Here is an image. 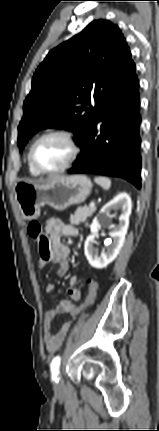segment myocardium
<instances>
[{"label": "myocardium", "instance_id": "obj_1", "mask_svg": "<svg viewBox=\"0 0 159 431\" xmlns=\"http://www.w3.org/2000/svg\"><path fill=\"white\" fill-rule=\"evenodd\" d=\"M55 136L62 137L68 142V144L71 148V155H70L69 159L67 160V162L64 165H62L61 167H59L57 169H53V170H46V169L39 167L37 165V163L35 162L34 150H35V147L38 145V143H40L42 140L49 138V137H55ZM79 154H80V146H79V143H78L75 135L71 131H68V130L56 129V130H51V131H48V132L42 134L32 143V145L29 149L28 159H29V162L32 165V167L38 173L51 175V174H57V173L64 172L65 170L70 168L74 164V162L77 160Z\"/></svg>", "mask_w": 159, "mask_h": 431}]
</instances>
